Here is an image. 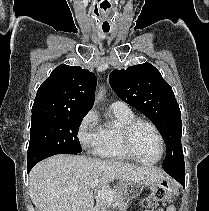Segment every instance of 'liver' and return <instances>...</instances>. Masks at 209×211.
<instances>
[{"label": "liver", "mask_w": 209, "mask_h": 211, "mask_svg": "<svg viewBox=\"0 0 209 211\" xmlns=\"http://www.w3.org/2000/svg\"><path fill=\"white\" fill-rule=\"evenodd\" d=\"M160 179L163 172L157 168L61 154L33 167L29 193L38 211H96L91 188L95 180L104 188L114 180L150 186Z\"/></svg>", "instance_id": "liver-1"}]
</instances>
